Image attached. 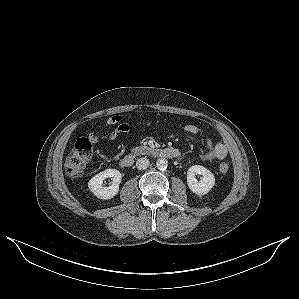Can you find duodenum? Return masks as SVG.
I'll list each match as a JSON object with an SVG mask.
<instances>
[{"label":"duodenum","instance_id":"obj_1","mask_svg":"<svg viewBox=\"0 0 299 299\" xmlns=\"http://www.w3.org/2000/svg\"><path fill=\"white\" fill-rule=\"evenodd\" d=\"M155 155L163 158L174 159L180 156V151L175 148L164 147L161 149H157L155 151ZM133 163H134L133 155H126L122 157L119 162L122 168H129L133 165Z\"/></svg>","mask_w":299,"mask_h":299}]
</instances>
